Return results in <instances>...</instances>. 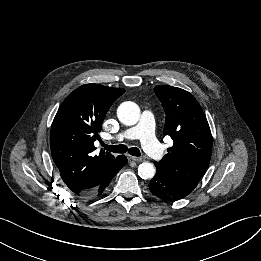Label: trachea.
<instances>
[{
    "label": "trachea",
    "instance_id": "obj_1",
    "mask_svg": "<svg viewBox=\"0 0 261 261\" xmlns=\"http://www.w3.org/2000/svg\"><path fill=\"white\" fill-rule=\"evenodd\" d=\"M102 146L104 147L105 150H108V151H111V152H114V153L129 152L130 155L136 156V157L141 155L140 150L137 147L128 148L126 145H122V144L110 146V145H107V144H104V143H102Z\"/></svg>",
    "mask_w": 261,
    "mask_h": 261
}]
</instances>
